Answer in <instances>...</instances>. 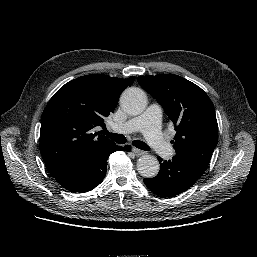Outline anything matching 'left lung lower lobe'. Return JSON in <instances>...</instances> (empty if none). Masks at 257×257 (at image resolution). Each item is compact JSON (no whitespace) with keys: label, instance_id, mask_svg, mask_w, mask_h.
Masks as SVG:
<instances>
[{"label":"left lung lower lobe","instance_id":"0a47b994","mask_svg":"<svg viewBox=\"0 0 257 257\" xmlns=\"http://www.w3.org/2000/svg\"><path fill=\"white\" fill-rule=\"evenodd\" d=\"M160 161V171L156 177L145 178L144 183L154 193L162 197L176 196L190 187L204 173L205 168L189 158L175 155L169 161Z\"/></svg>","mask_w":257,"mask_h":257}]
</instances>
